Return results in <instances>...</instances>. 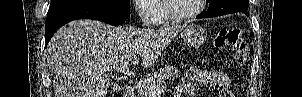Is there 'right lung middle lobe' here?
Segmentation results:
<instances>
[{
    "label": "right lung middle lobe",
    "instance_id": "1",
    "mask_svg": "<svg viewBox=\"0 0 302 97\" xmlns=\"http://www.w3.org/2000/svg\"><path fill=\"white\" fill-rule=\"evenodd\" d=\"M75 5H101L112 8L127 19L130 17V0H51L49 11Z\"/></svg>",
    "mask_w": 302,
    "mask_h": 97
}]
</instances>
